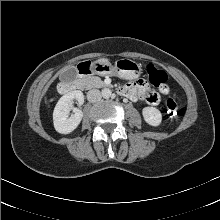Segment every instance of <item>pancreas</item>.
<instances>
[{
    "label": "pancreas",
    "mask_w": 220,
    "mask_h": 220,
    "mask_svg": "<svg viewBox=\"0 0 220 220\" xmlns=\"http://www.w3.org/2000/svg\"><path fill=\"white\" fill-rule=\"evenodd\" d=\"M81 82L83 87L86 89L102 88L106 86V84L101 80V78L97 76H87L81 79Z\"/></svg>",
    "instance_id": "1"
}]
</instances>
